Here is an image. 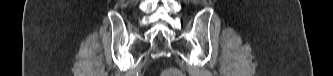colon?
<instances>
[{
    "label": "colon",
    "mask_w": 333,
    "mask_h": 76,
    "mask_svg": "<svg viewBox=\"0 0 333 76\" xmlns=\"http://www.w3.org/2000/svg\"><path fill=\"white\" fill-rule=\"evenodd\" d=\"M164 76H183L182 72L176 68H169L167 69L164 74Z\"/></svg>",
    "instance_id": "5ec220e1"
}]
</instances>
